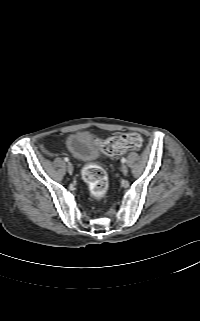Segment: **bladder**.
Segmentation results:
<instances>
[{
  "instance_id": "bladder-1",
  "label": "bladder",
  "mask_w": 200,
  "mask_h": 321,
  "mask_svg": "<svg viewBox=\"0 0 200 321\" xmlns=\"http://www.w3.org/2000/svg\"><path fill=\"white\" fill-rule=\"evenodd\" d=\"M66 147L75 159L83 162L95 160L99 155L98 142L88 131L69 134L66 138Z\"/></svg>"
}]
</instances>
